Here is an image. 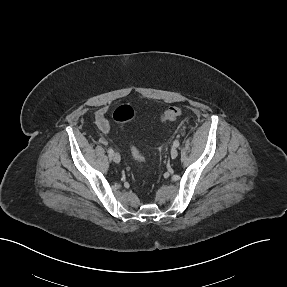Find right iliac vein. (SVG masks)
Segmentation results:
<instances>
[{"label":"right iliac vein","mask_w":287,"mask_h":287,"mask_svg":"<svg viewBox=\"0 0 287 287\" xmlns=\"http://www.w3.org/2000/svg\"><path fill=\"white\" fill-rule=\"evenodd\" d=\"M113 161L115 163H119L121 161V157H120V155L118 153H114L113 154Z\"/></svg>","instance_id":"right-iliac-vein-1"}]
</instances>
